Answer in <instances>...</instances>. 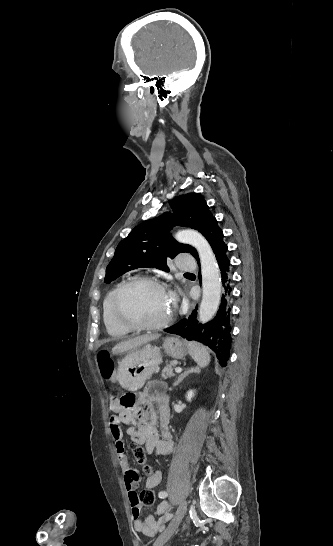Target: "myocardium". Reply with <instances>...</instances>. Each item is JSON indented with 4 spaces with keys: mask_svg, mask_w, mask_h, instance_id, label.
Returning <instances> with one entry per match:
<instances>
[{
    "mask_svg": "<svg viewBox=\"0 0 333 546\" xmlns=\"http://www.w3.org/2000/svg\"><path fill=\"white\" fill-rule=\"evenodd\" d=\"M139 284H150L158 286L166 290L162 281L153 276H135L126 280L117 290L113 301V312L117 321L124 327L133 331H151L160 330L169 326L175 317V306L173 305L169 315L162 321L157 323H146L135 320L127 315L123 307V299L127 291L133 286Z\"/></svg>",
    "mask_w": 333,
    "mask_h": 546,
    "instance_id": "myocardium-1",
    "label": "myocardium"
}]
</instances>
